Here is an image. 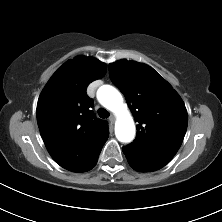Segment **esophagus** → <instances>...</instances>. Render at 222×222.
<instances>
[{
    "label": "esophagus",
    "mask_w": 222,
    "mask_h": 222,
    "mask_svg": "<svg viewBox=\"0 0 222 222\" xmlns=\"http://www.w3.org/2000/svg\"><path fill=\"white\" fill-rule=\"evenodd\" d=\"M109 121H110L111 123H114V122H115V118H114L113 116H111V117L109 118Z\"/></svg>",
    "instance_id": "obj_1"
}]
</instances>
